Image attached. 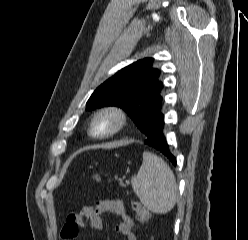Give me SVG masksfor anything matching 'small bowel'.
I'll use <instances>...</instances> for the list:
<instances>
[{
  "instance_id": "obj_1",
  "label": "small bowel",
  "mask_w": 248,
  "mask_h": 240,
  "mask_svg": "<svg viewBox=\"0 0 248 240\" xmlns=\"http://www.w3.org/2000/svg\"><path fill=\"white\" fill-rule=\"evenodd\" d=\"M111 213L118 217L116 231L127 240H136L133 233L134 223L127 213L123 202L119 199L98 200L95 205L84 206L77 213L70 214L61 230L63 240L76 239L81 230L90 226L96 231L103 229L102 214Z\"/></svg>"
}]
</instances>
